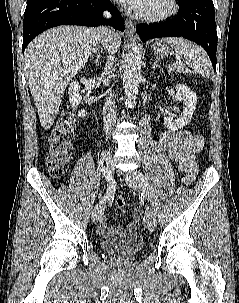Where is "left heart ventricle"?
<instances>
[{
	"label": "left heart ventricle",
	"instance_id": "b2bd125f",
	"mask_svg": "<svg viewBox=\"0 0 239 303\" xmlns=\"http://www.w3.org/2000/svg\"><path fill=\"white\" fill-rule=\"evenodd\" d=\"M166 0H149L147 6L142 10L143 12H158L166 8Z\"/></svg>",
	"mask_w": 239,
	"mask_h": 303
}]
</instances>
